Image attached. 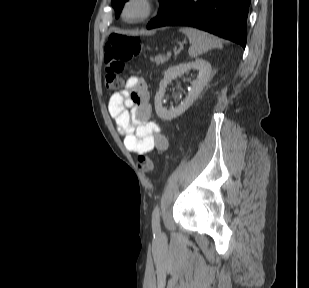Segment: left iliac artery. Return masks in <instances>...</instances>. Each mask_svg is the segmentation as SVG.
Segmentation results:
<instances>
[{
  "mask_svg": "<svg viewBox=\"0 0 309 288\" xmlns=\"http://www.w3.org/2000/svg\"><path fill=\"white\" fill-rule=\"evenodd\" d=\"M152 227L155 231L160 229V209L158 206H155L152 213Z\"/></svg>",
  "mask_w": 309,
  "mask_h": 288,
  "instance_id": "obj_1",
  "label": "left iliac artery"
}]
</instances>
